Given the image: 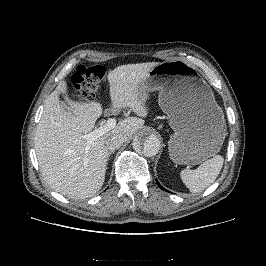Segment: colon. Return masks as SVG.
I'll use <instances>...</instances> for the list:
<instances>
[{
    "label": "colon",
    "instance_id": "5ec220e1",
    "mask_svg": "<svg viewBox=\"0 0 266 266\" xmlns=\"http://www.w3.org/2000/svg\"><path fill=\"white\" fill-rule=\"evenodd\" d=\"M104 73L101 65H79L73 75L70 95L81 102L93 100Z\"/></svg>",
    "mask_w": 266,
    "mask_h": 266
}]
</instances>
